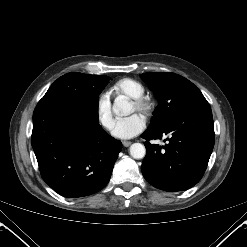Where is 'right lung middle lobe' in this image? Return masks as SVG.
Segmentation results:
<instances>
[{
	"label": "right lung middle lobe",
	"instance_id": "1",
	"mask_svg": "<svg viewBox=\"0 0 247 247\" xmlns=\"http://www.w3.org/2000/svg\"><path fill=\"white\" fill-rule=\"evenodd\" d=\"M109 80L108 76L67 73L50 86L44 97L60 96L78 100H93L98 105V95Z\"/></svg>",
	"mask_w": 247,
	"mask_h": 247
}]
</instances>
